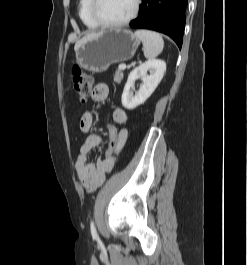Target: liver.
<instances>
[{
	"label": "liver",
	"instance_id": "liver-1",
	"mask_svg": "<svg viewBox=\"0 0 247 265\" xmlns=\"http://www.w3.org/2000/svg\"><path fill=\"white\" fill-rule=\"evenodd\" d=\"M96 35H98V34H96V33H91V34L86 35V36L83 37L80 41L76 42L74 49H76L77 46H78L80 43H82L83 41H85V40H87V39H89V38H92V37H94V36H96Z\"/></svg>",
	"mask_w": 247,
	"mask_h": 265
}]
</instances>
